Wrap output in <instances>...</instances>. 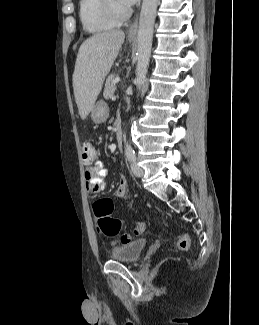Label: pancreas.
Instances as JSON below:
<instances>
[{
  "label": "pancreas",
  "mask_w": 259,
  "mask_h": 325,
  "mask_svg": "<svg viewBox=\"0 0 259 325\" xmlns=\"http://www.w3.org/2000/svg\"><path fill=\"white\" fill-rule=\"evenodd\" d=\"M113 80H114V75H110L106 79L105 88H104V92H103V96H104L105 99H110L114 95V92L116 90V86L113 83Z\"/></svg>",
  "instance_id": "cf45deb5"
}]
</instances>
